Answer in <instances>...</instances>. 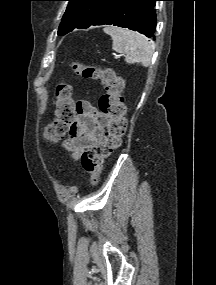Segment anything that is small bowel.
I'll list each match as a JSON object with an SVG mask.
<instances>
[{"label": "small bowel", "instance_id": "obj_1", "mask_svg": "<svg viewBox=\"0 0 216 285\" xmlns=\"http://www.w3.org/2000/svg\"><path fill=\"white\" fill-rule=\"evenodd\" d=\"M76 106L78 116L70 127V139L66 146L73 150L74 157L78 158L83 150L103 138L107 117L87 101H80Z\"/></svg>", "mask_w": 216, "mask_h": 285}]
</instances>
